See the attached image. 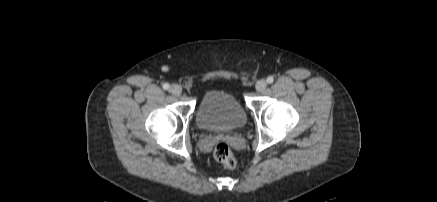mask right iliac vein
Masks as SVG:
<instances>
[{
	"label": "right iliac vein",
	"instance_id": "63e3f726",
	"mask_svg": "<svg viewBox=\"0 0 437 202\" xmlns=\"http://www.w3.org/2000/svg\"><path fill=\"white\" fill-rule=\"evenodd\" d=\"M170 93H172L173 95L179 96L182 93V88L180 85L177 84H173L170 89H169Z\"/></svg>",
	"mask_w": 437,
	"mask_h": 202
}]
</instances>
